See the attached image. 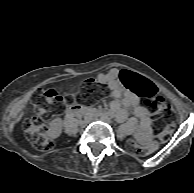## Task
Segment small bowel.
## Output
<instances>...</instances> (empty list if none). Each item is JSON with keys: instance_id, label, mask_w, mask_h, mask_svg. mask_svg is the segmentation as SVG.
Wrapping results in <instances>:
<instances>
[{"instance_id": "c3829d8e", "label": "small bowel", "mask_w": 194, "mask_h": 193, "mask_svg": "<svg viewBox=\"0 0 194 193\" xmlns=\"http://www.w3.org/2000/svg\"><path fill=\"white\" fill-rule=\"evenodd\" d=\"M97 79L100 83L106 84L110 95L114 99L111 103V110L119 121H125L129 112H133L139 120L136 137L142 143H149L151 138L150 112L147 107L139 105V98L136 92L127 88L120 79V72L113 68L106 73L99 74ZM151 83V82H150ZM151 85L156 90L155 86Z\"/></svg>"}]
</instances>
